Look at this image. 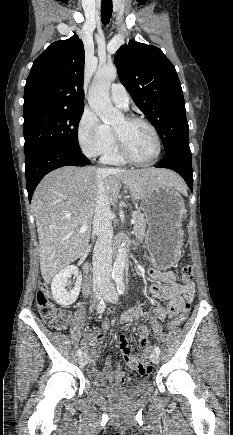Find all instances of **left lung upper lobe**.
I'll use <instances>...</instances> for the list:
<instances>
[{"label": "left lung upper lobe", "instance_id": "obj_1", "mask_svg": "<svg viewBox=\"0 0 233 435\" xmlns=\"http://www.w3.org/2000/svg\"><path fill=\"white\" fill-rule=\"evenodd\" d=\"M120 81L157 129L165 151L188 142L185 101L174 65L153 45L129 41L114 57Z\"/></svg>", "mask_w": 233, "mask_h": 435}]
</instances>
